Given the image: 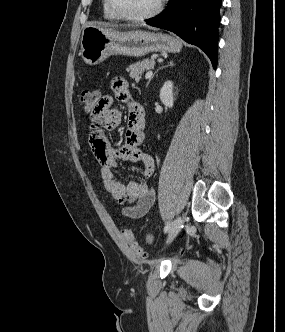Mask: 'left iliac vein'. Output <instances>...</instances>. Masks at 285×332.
I'll return each mask as SVG.
<instances>
[{
  "label": "left iliac vein",
  "mask_w": 285,
  "mask_h": 332,
  "mask_svg": "<svg viewBox=\"0 0 285 332\" xmlns=\"http://www.w3.org/2000/svg\"><path fill=\"white\" fill-rule=\"evenodd\" d=\"M182 223H183V220H182L181 216H178L174 220V222H173V224H172V226H171V228L169 230V234H168V238H167V243H170L177 236V234L181 230Z\"/></svg>",
  "instance_id": "obj_1"
}]
</instances>
